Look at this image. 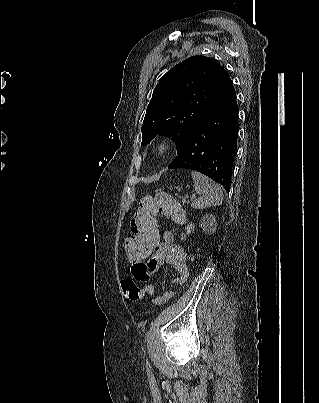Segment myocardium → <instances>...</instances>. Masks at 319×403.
<instances>
[{"label":"myocardium","instance_id":"myocardium-1","mask_svg":"<svg viewBox=\"0 0 319 403\" xmlns=\"http://www.w3.org/2000/svg\"><path fill=\"white\" fill-rule=\"evenodd\" d=\"M171 148V141L169 139H162L155 144L151 149V154L155 158L164 156Z\"/></svg>","mask_w":319,"mask_h":403}]
</instances>
